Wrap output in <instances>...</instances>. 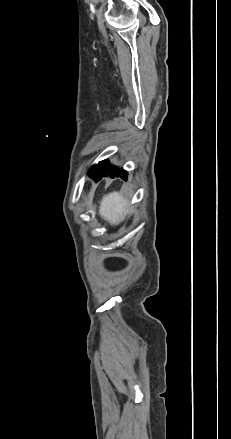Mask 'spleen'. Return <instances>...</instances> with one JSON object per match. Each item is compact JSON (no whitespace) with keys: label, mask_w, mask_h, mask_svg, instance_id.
I'll return each mask as SVG.
<instances>
[{"label":"spleen","mask_w":231,"mask_h":439,"mask_svg":"<svg viewBox=\"0 0 231 439\" xmlns=\"http://www.w3.org/2000/svg\"><path fill=\"white\" fill-rule=\"evenodd\" d=\"M127 212V201L118 192L105 195L101 201L99 213L111 224H118L124 220Z\"/></svg>","instance_id":"spleen-1"}]
</instances>
